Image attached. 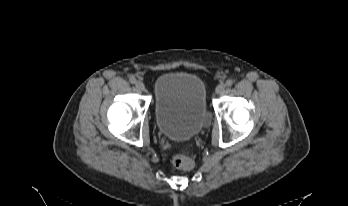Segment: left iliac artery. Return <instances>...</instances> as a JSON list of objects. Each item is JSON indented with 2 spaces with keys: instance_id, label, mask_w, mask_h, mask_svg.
<instances>
[{
  "instance_id": "44dca946",
  "label": "left iliac artery",
  "mask_w": 348,
  "mask_h": 206,
  "mask_svg": "<svg viewBox=\"0 0 348 206\" xmlns=\"http://www.w3.org/2000/svg\"><path fill=\"white\" fill-rule=\"evenodd\" d=\"M225 84H226L227 87H231L233 85V80L232 79H228Z\"/></svg>"
}]
</instances>
